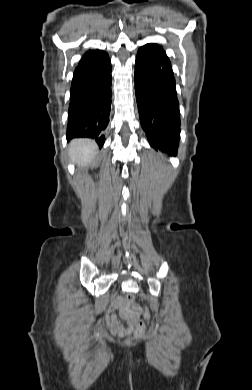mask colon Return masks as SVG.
Segmentation results:
<instances>
[{"label":"colon","instance_id":"colon-1","mask_svg":"<svg viewBox=\"0 0 252 390\" xmlns=\"http://www.w3.org/2000/svg\"><path fill=\"white\" fill-rule=\"evenodd\" d=\"M125 302L127 309L131 313L138 314L140 312L139 308L134 303V296L132 294H127L125 297ZM145 332V325L142 319L138 318L135 323V333L134 338L138 339L143 337Z\"/></svg>","mask_w":252,"mask_h":390}]
</instances>
